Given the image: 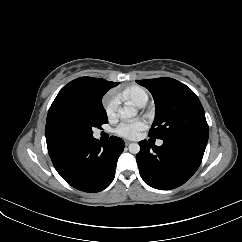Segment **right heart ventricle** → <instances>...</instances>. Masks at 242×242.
Here are the masks:
<instances>
[{
  "instance_id": "right-heart-ventricle-1",
  "label": "right heart ventricle",
  "mask_w": 242,
  "mask_h": 242,
  "mask_svg": "<svg viewBox=\"0 0 242 242\" xmlns=\"http://www.w3.org/2000/svg\"><path fill=\"white\" fill-rule=\"evenodd\" d=\"M123 99L129 100L136 106H143L148 100L147 92L139 86H131L121 93Z\"/></svg>"
}]
</instances>
